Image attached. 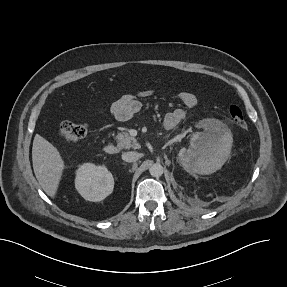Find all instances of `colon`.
<instances>
[{"label":"colon","mask_w":287,"mask_h":287,"mask_svg":"<svg viewBox=\"0 0 287 287\" xmlns=\"http://www.w3.org/2000/svg\"><path fill=\"white\" fill-rule=\"evenodd\" d=\"M228 114L233 123L245 128L246 120L242 109L237 104H231L228 108ZM88 131L85 123L65 121L58 128L59 135L68 143H77L82 140Z\"/></svg>","instance_id":"obj_1"}]
</instances>
